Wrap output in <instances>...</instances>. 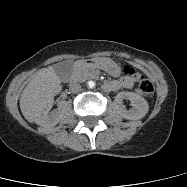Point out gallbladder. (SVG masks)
<instances>
[{"label": "gallbladder", "mask_w": 187, "mask_h": 187, "mask_svg": "<svg viewBox=\"0 0 187 187\" xmlns=\"http://www.w3.org/2000/svg\"><path fill=\"white\" fill-rule=\"evenodd\" d=\"M72 67H73V63L71 61H64V62L57 63L54 66V70L58 75V77L60 78V80L64 81L70 76Z\"/></svg>", "instance_id": "obj_1"}]
</instances>
